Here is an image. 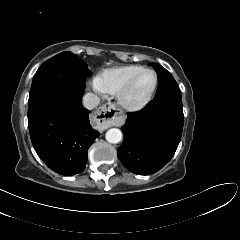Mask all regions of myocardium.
Segmentation results:
<instances>
[{
    "label": "myocardium",
    "instance_id": "obj_1",
    "mask_svg": "<svg viewBox=\"0 0 240 240\" xmlns=\"http://www.w3.org/2000/svg\"><path fill=\"white\" fill-rule=\"evenodd\" d=\"M145 72H151L154 75L155 83H154L152 90L150 91L148 96L145 99H143L142 101L137 102V103L129 102L127 100L128 92L132 88L135 81ZM158 84H159V77H158L157 72L151 68H144L141 71H139L138 73H136L133 77H131L122 86V88L117 92V99H118L119 103L121 104V106L123 108H125L126 110L131 111V112L140 111V110L144 109L152 101V99L156 93V90L158 88Z\"/></svg>",
    "mask_w": 240,
    "mask_h": 240
}]
</instances>
